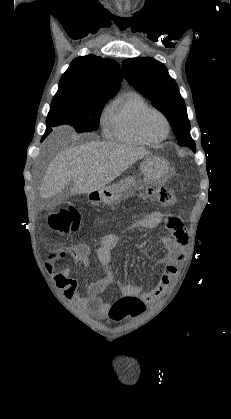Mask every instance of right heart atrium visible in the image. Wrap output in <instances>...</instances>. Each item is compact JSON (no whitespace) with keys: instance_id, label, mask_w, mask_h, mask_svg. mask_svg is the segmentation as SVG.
Returning a JSON list of instances; mask_svg holds the SVG:
<instances>
[{"instance_id":"d8ad5b80","label":"right heart atrium","mask_w":231,"mask_h":419,"mask_svg":"<svg viewBox=\"0 0 231 419\" xmlns=\"http://www.w3.org/2000/svg\"><path fill=\"white\" fill-rule=\"evenodd\" d=\"M106 115L107 114H105L104 116H103V118H102V125L104 126V123H105V120H106Z\"/></svg>"}]
</instances>
